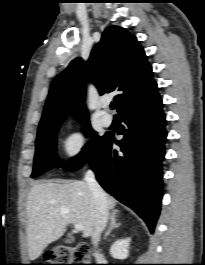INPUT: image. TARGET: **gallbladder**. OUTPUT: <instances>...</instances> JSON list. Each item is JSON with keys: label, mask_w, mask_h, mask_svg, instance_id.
<instances>
[{"label": "gallbladder", "mask_w": 205, "mask_h": 265, "mask_svg": "<svg viewBox=\"0 0 205 265\" xmlns=\"http://www.w3.org/2000/svg\"><path fill=\"white\" fill-rule=\"evenodd\" d=\"M74 240H73V237L71 235H68L67 238L64 240L65 243H72Z\"/></svg>", "instance_id": "gallbladder-1"}]
</instances>
